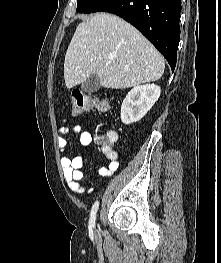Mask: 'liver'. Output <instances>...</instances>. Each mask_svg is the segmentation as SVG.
<instances>
[{"label":"liver","mask_w":221,"mask_h":263,"mask_svg":"<svg viewBox=\"0 0 221 263\" xmlns=\"http://www.w3.org/2000/svg\"><path fill=\"white\" fill-rule=\"evenodd\" d=\"M162 55L132 25L120 17L98 13L80 23L64 60L68 89L96 74L105 88L124 89L159 80Z\"/></svg>","instance_id":"6515ba94"}]
</instances>
